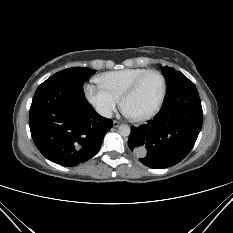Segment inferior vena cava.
<instances>
[{"label":"inferior vena cava","instance_id":"1","mask_svg":"<svg viewBox=\"0 0 233 233\" xmlns=\"http://www.w3.org/2000/svg\"><path fill=\"white\" fill-rule=\"evenodd\" d=\"M98 113L106 118H111L112 117V111L110 109L107 108H100L98 109Z\"/></svg>","mask_w":233,"mask_h":233}]
</instances>
